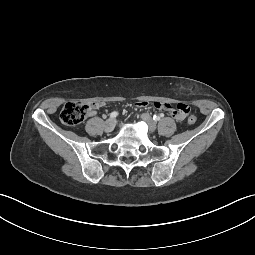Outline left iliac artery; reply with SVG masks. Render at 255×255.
Listing matches in <instances>:
<instances>
[{
    "label": "left iliac artery",
    "mask_w": 255,
    "mask_h": 255,
    "mask_svg": "<svg viewBox=\"0 0 255 255\" xmlns=\"http://www.w3.org/2000/svg\"><path fill=\"white\" fill-rule=\"evenodd\" d=\"M153 119H154L155 121H159V120H160V116L154 115V116H153Z\"/></svg>",
    "instance_id": "1"
}]
</instances>
